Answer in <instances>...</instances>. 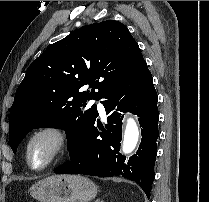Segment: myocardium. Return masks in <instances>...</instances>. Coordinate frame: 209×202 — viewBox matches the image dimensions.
<instances>
[{
    "mask_svg": "<svg viewBox=\"0 0 209 202\" xmlns=\"http://www.w3.org/2000/svg\"><path fill=\"white\" fill-rule=\"evenodd\" d=\"M41 137H48L52 142L48 159L40 166H36L31 157V146L34 141ZM70 148V142L65 131L55 124H44L35 128L28 136L25 142V155L29 167L35 171H43L62 157H64Z\"/></svg>",
    "mask_w": 209,
    "mask_h": 202,
    "instance_id": "f54148a6",
    "label": "myocardium"
}]
</instances>
